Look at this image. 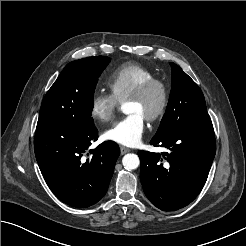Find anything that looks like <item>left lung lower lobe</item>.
<instances>
[{
	"label": "left lung lower lobe",
	"instance_id": "1",
	"mask_svg": "<svg viewBox=\"0 0 246 246\" xmlns=\"http://www.w3.org/2000/svg\"><path fill=\"white\" fill-rule=\"evenodd\" d=\"M150 143L165 147L169 152H138L145 195L164 211L185 207L205 185L215 156L211 120L176 126L168 134L152 138Z\"/></svg>",
	"mask_w": 246,
	"mask_h": 246
}]
</instances>
